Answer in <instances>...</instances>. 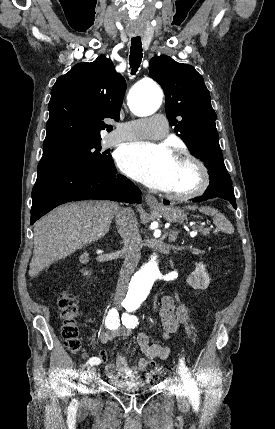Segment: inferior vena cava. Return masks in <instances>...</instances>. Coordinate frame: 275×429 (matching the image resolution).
Listing matches in <instances>:
<instances>
[{
  "label": "inferior vena cava",
  "mask_w": 275,
  "mask_h": 429,
  "mask_svg": "<svg viewBox=\"0 0 275 429\" xmlns=\"http://www.w3.org/2000/svg\"><path fill=\"white\" fill-rule=\"evenodd\" d=\"M116 226L124 243L125 260L118 279L115 301L121 302L125 296L129 277L140 259L141 236L136 217L130 208H120L115 216Z\"/></svg>",
  "instance_id": "1"
}]
</instances>
